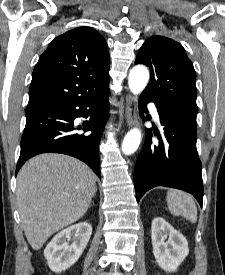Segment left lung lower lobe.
<instances>
[{"mask_svg": "<svg viewBox=\"0 0 225 275\" xmlns=\"http://www.w3.org/2000/svg\"><path fill=\"white\" fill-rule=\"evenodd\" d=\"M154 102L163 126V137L154 131L158 143H153L151 129H146V139L134 169L137 201L146 191L156 186L184 190L194 195L202 206L203 183L201 162L196 149V118L157 103L141 94L140 115L148 112L147 103Z\"/></svg>", "mask_w": 225, "mask_h": 275, "instance_id": "left-lung-lower-lobe-1", "label": "left lung lower lobe"}]
</instances>
